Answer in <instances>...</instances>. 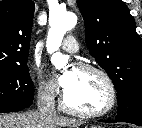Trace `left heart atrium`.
Instances as JSON below:
<instances>
[{
	"label": "left heart atrium",
	"mask_w": 142,
	"mask_h": 128,
	"mask_svg": "<svg viewBox=\"0 0 142 128\" xmlns=\"http://www.w3.org/2000/svg\"><path fill=\"white\" fill-rule=\"evenodd\" d=\"M57 82L60 87L65 91H67L74 82V73L72 71H67L58 76Z\"/></svg>",
	"instance_id": "obj_1"
}]
</instances>
